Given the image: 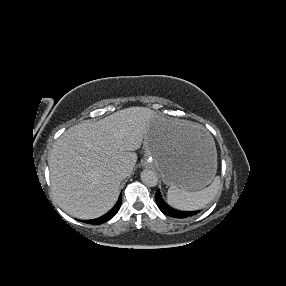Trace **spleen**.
<instances>
[{
  "label": "spleen",
  "instance_id": "obj_1",
  "mask_svg": "<svg viewBox=\"0 0 286 286\" xmlns=\"http://www.w3.org/2000/svg\"><path fill=\"white\" fill-rule=\"evenodd\" d=\"M221 188L220 177L216 176L210 186L198 191H187L170 186L167 192L168 204L178 210H198L209 204Z\"/></svg>",
  "mask_w": 286,
  "mask_h": 286
}]
</instances>
